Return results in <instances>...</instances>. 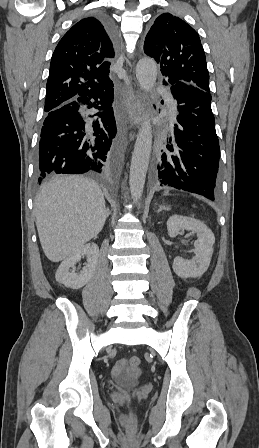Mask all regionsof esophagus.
I'll return each instance as SVG.
<instances>
[{
  "mask_svg": "<svg viewBox=\"0 0 259 448\" xmlns=\"http://www.w3.org/2000/svg\"><path fill=\"white\" fill-rule=\"evenodd\" d=\"M129 80L132 81L131 76H129ZM125 88V102L128 110L129 124L138 127L141 120L142 98L136 94L132 86L127 85Z\"/></svg>",
  "mask_w": 259,
  "mask_h": 448,
  "instance_id": "1",
  "label": "esophagus"
}]
</instances>
